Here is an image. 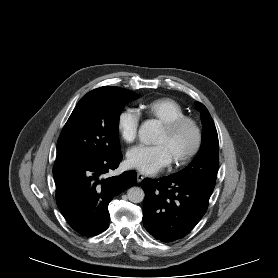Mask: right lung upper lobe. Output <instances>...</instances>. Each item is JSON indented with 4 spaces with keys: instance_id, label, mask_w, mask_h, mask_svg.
I'll list each match as a JSON object with an SVG mask.
<instances>
[{
    "instance_id": "cb5924a9",
    "label": "right lung upper lobe",
    "mask_w": 278,
    "mask_h": 278,
    "mask_svg": "<svg viewBox=\"0 0 278 278\" xmlns=\"http://www.w3.org/2000/svg\"><path fill=\"white\" fill-rule=\"evenodd\" d=\"M101 88H107V89H121V88H118V87H114V86H104V87H101Z\"/></svg>"
}]
</instances>
